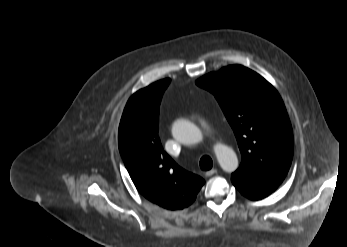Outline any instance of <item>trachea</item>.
<instances>
[{"mask_svg": "<svg viewBox=\"0 0 347 247\" xmlns=\"http://www.w3.org/2000/svg\"><path fill=\"white\" fill-rule=\"evenodd\" d=\"M213 162L209 156H203L200 159V168L204 171H208L212 168Z\"/></svg>", "mask_w": 347, "mask_h": 247, "instance_id": "1", "label": "trachea"}]
</instances>
